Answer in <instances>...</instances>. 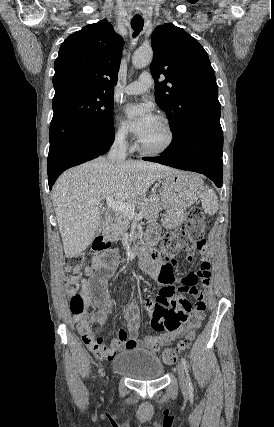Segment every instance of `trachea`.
Wrapping results in <instances>:
<instances>
[{
  "label": "trachea",
  "mask_w": 274,
  "mask_h": 427,
  "mask_svg": "<svg viewBox=\"0 0 274 427\" xmlns=\"http://www.w3.org/2000/svg\"><path fill=\"white\" fill-rule=\"evenodd\" d=\"M144 26V20L142 17H134L131 20V27L134 30L133 36L136 37L141 30L143 29Z\"/></svg>",
  "instance_id": "3493384b"
}]
</instances>
